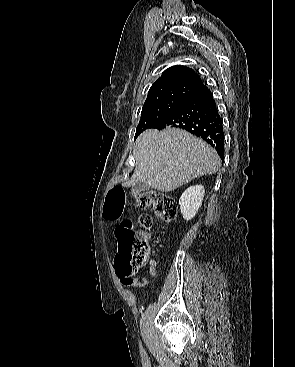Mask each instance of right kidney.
Listing matches in <instances>:
<instances>
[{"label": "right kidney", "mask_w": 295, "mask_h": 367, "mask_svg": "<svg viewBox=\"0 0 295 367\" xmlns=\"http://www.w3.org/2000/svg\"><path fill=\"white\" fill-rule=\"evenodd\" d=\"M204 187L202 185L187 188L179 199L180 210L186 221L191 220L202 205L204 198Z\"/></svg>", "instance_id": "ca27d5eb"}]
</instances>
